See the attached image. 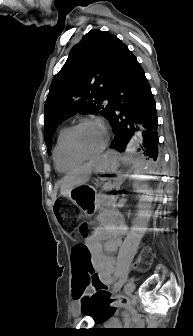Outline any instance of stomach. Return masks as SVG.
<instances>
[{"mask_svg":"<svg viewBox=\"0 0 193 336\" xmlns=\"http://www.w3.org/2000/svg\"><path fill=\"white\" fill-rule=\"evenodd\" d=\"M117 169V155L115 152H107L101 160L93 167L95 173L111 174ZM79 208L85 212L92 214L97 204L96 191L88 186L81 185L73 188L68 196Z\"/></svg>","mask_w":193,"mask_h":336,"instance_id":"0dacf381","label":"stomach"}]
</instances>
